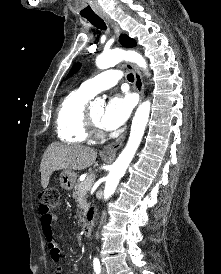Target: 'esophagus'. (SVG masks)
I'll return each mask as SVG.
<instances>
[{
	"label": "esophagus",
	"mask_w": 221,
	"mask_h": 274,
	"mask_svg": "<svg viewBox=\"0 0 221 274\" xmlns=\"http://www.w3.org/2000/svg\"><path fill=\"white\" fill-rule=\"evenodd\" d=\"M101 17L108 24L111 25V27L115 31L116 35L119 37L120 34H121V29L119 28L118 24L106 14H102ZM126 67L128 69H130L132 71L133 75H134V78H135L134 87H135L136 91L139 93L140 103H141L143 98H144V83H143V79H142V76L140 74V71L138 70V68L135 65H133L129 62L126 63ZM125 138H126V132H124L122 135H120L113 142L107 144L103 148V152H105L107 154H115L122 147Z\"/></svg>",
	"instance_id": "esophagus-1"
}]
</instances>
